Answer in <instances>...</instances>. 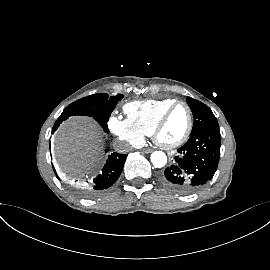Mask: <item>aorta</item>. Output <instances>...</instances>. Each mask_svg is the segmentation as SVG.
I'll use <instances>...</instances> for the list:
<instances>
[{
	"label": "aorta",
	"mask_w": 270,
	"mask_h": 270,
	"mask_svg": "<svg viewBox=\"0 0 270 270\" xmlns=\"http://www.w3.org/2000/svg\"><path fill=\"white\" fill-rule=\"evenodd\" d=\"M151 162L157 168H162L167 163V156L162 151H155L151 154Z\"/></svg>",
	"instance_id": "762f6f07"
}]
</instances>
